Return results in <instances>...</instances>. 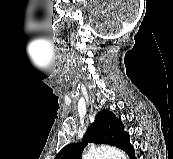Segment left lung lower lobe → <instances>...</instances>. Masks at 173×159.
Instances as JSON below:
<instances>
[{
  "label": "left lung lower lobe",
  "instance_id": "0a47b994",
  "mask_svg": "<svg viewBox=\"0 0 173 159\" xmlns=\"http://www.w3.org/2000/svg\"><path fill=\"white\" fill-rule=\"evenodd\" d=\"M127 154L130 159H136L134 149L132 146L127 150Z\"/></svg>",
  "mask_w": 173,
  "mask_h": 159
}]
</instances>
